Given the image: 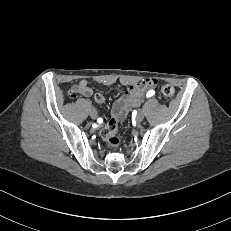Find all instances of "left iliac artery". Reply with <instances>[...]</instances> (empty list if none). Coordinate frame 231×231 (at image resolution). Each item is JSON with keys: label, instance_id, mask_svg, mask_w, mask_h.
Instances as JSON below:
<instances>
[{"label": "left iliac artery", "instance_id": "left-iliac-artery-1", "mask_svg": "<svg viewBox=\"0 0 231 231\" xmlns=\"http://www.w3.org/2000/svg\"><path fill=\"white\" fill-rule=\"evenodd\" d=\"M154 94H155V91L154 90H150V91L147 92L146 97H151Z\"/></svg>", "mask_w": 231, "mask_h": 231}]
</instances>
